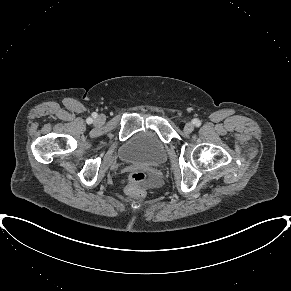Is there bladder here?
<instances>
[{"label": "bladder", "instance_id": "obj_1", "mask_svg": "<svg viewBox=\"0 0 291 291\" xmlns=\"http://www.w3.org/2000/svg\"><path fill=\"white\" fill-rule=\"evenodd\" d=\"M119 157L128 163L156 166L165 161L167 150L155 132L145 130L134 134L121 146Z\"/></svg>", "mask_w": 291, "mask_h": 291}]
</instances>
